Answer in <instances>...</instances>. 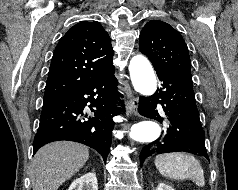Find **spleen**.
<instances>
[{
	"label": "spleen",
	"mask_w": 238,
	"mask_h": 190,
	"mask_svg": "<svg viewBox=\"0 0 238 190\" xmlns=\"http://www.w3.org/2000/svg\"><path fill=\"white\" fill-rule=\"evenodd\" d=\"M155 166L160 174L169 179H191L199 187L205 185L200 162L187 153H167L155 158Z\"/></svg>",
	"instance_id": "3e777b00"
}]
</instances>
